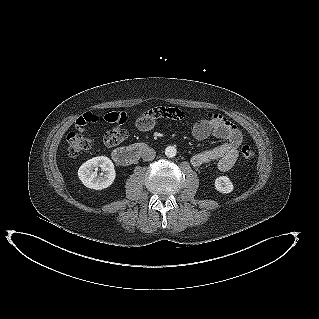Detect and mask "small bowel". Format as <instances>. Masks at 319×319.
<instances>
[{
  "label": "small bowel",
  "mask_w": 319,
  "mask_h": 319,
  "mask_svg": "<svg viewBox=\"0 0 319 319\" xmlns=\"http://www.w3.org/2000/svg\"><path fill=\"white\" fill-rule=\"evenodd\" d=\"M185 116L183 110L175 107H153L136 119V127L143 132L153 129L160 119L181 120ZM98 116L87 112L76 121V129L79 131L98 121ZM192 135L197 140H204L209 136H215L223 140V143L212 149L197 153L192 156L191 163L200 167L215 162L218 169L227 171L236 163L243 136L239 128L227 118L221 115H209L198 122L192 128ZM129 137L126 129L115 127L107 131L103 137L104 144L114 147Z\"/></svg>",
  "instance_id": "obj_1"
}]
</instances>
